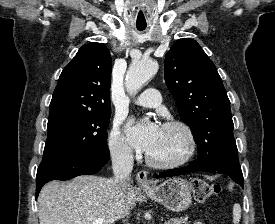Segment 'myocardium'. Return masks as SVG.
Returning a JSON list of instances; mask_svg holds the SVG:
<instances>
[{
  "label": "myocardium",
  "instance_id": "1",
  "mask_svg": "<svg viewBox=\"0 0 275 224\" xmlns=\"http://www.w3.org/2000/svg\"><path fill=\"white\" fill-rule=\"evenodd\" d=\"M162 127L177 128L181 130L186 138L187 148L181 157L172 161H157L147 155V164L151 167L158 169H171L184 165L191 159L196 149V139L193 130L187 123L177 119H172L164 122Z\"/></svg>",
  "mask_w": 275,
  "mask_h": 224
}]
</instances>
